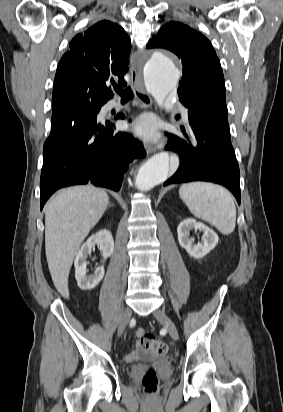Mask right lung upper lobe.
Wrapping results in <instances>:
<instances>
[{"label": "right lung upper lobe", "instance_id": "right-lung-upper-lobe-1", "mask_svg": "<svg viewBox=\"0 0 283 412\" xmlns=\"http://www.w3.org/2000/svg\"><path fill=\"white\" fill-rule=\"evenodd\" d=\"M60 60L52 95V114L81 101L106 103L110 85H126L130 38L117 24L104 20L78 34Z\"/></svg>", "mask_w": 283, "mask_h": 412}]
</instances>
